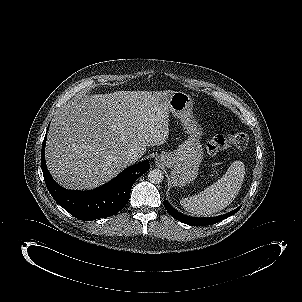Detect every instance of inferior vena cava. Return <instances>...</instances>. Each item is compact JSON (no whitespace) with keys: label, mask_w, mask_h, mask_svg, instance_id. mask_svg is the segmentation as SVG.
I'll list each match as a JSON object with an SVG mask.
<instances>
[{"label":"inferior vena cava","mask_w":302,"mask_h":302,"mask_svg":"<svg viewBox=\"0 0 302 302\" xmlns=\"http://www.w3.org/2000/svg\"><path fill=\"white\" fill-rule=\"evenodd\" d=\"M141 157L140 153L137 151H129L126 153L125 160L128 164L135 163Z\"/></svg>","instance_id":"inferior-vena-cava-1"}]
</instances>
